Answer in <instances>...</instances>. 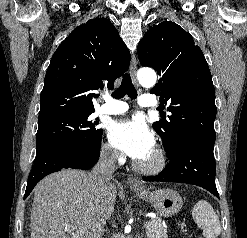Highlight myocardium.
Instances as JSON below:
<instances>
[{
	"label": "myocardium",
	"mask_w": 247,
	"mask_h": 238,
	"mask_svg": "<svg viewBox=\"0 0 247 238\" xmlns=\"http://www.w3.org/2000/svg\"><path fill=\"white\" fill-rule=\"evenodd\" d=\"M135 167L144 174H158L166 167V155L163 150L156 148L152 151V159L149 163L138 161L135 163Z\"/></svg>",
	"instance_id": "f54148a6"
}]
</instances>
